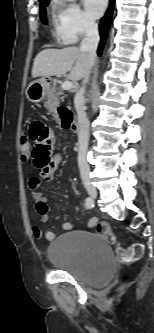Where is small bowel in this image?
Instances as JSON below:
<instances>
[{"instance_id":"c3829d8e","label":"small bowel","mask_w":154,"mask_h":333,"mask_svg":"<svg viewBox=\"0 0 154 333\" xmlns=\"http://www.w3.org/2000/svg\"><path fill=\"white\" fill-rule=\"evenodd\" d=\"M28 138L32 143L31 156L33 165L40 170V175L30 179L29 187L32 196L36 201V210L40 215L41 221L47 223L49 221V207L47 199L39 190L42 182H50L54 178L55 171L61 162V155L54 152L55 138L53 131L41 121H33L29 126ZM97 223V218H92L88 226L93 227ZM64 230L73 229L70 222H64L62 225ZM32 234L36 239H45L53 241L55 234L53 232H45L40 227L34 225Z\"/></svg>"}]
</instances>
